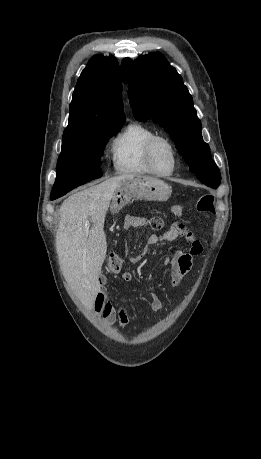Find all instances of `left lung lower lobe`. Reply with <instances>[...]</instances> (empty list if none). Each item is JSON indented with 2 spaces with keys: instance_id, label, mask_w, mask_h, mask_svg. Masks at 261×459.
I'll use <instances>...</instances> for the list:
<instances>
[{
  "instance_id": "obj_1",
  "label": "left lung lower lobe",
  "mask_w": 261,
  "mask_h": 459,
  "mask_svg": "<svg viewBox=\"0 0 261 459\" xmlns=\"http://www.w3.org/2000/svg\"><path fill=\"white\" fill-rule=\"evenodd\" d=\"M206 185L209 186V187H212V188H217L218 187V186H215V185H208V184H206Z\"/></svg>"
}]
</instances>
